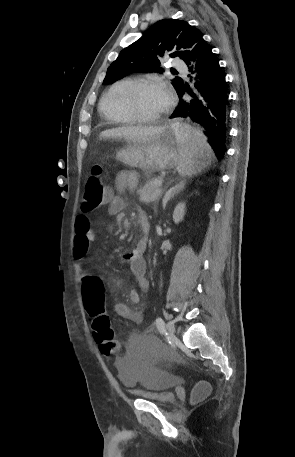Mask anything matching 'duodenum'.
<instances>
[{
	"instance_id": "1",
	"label": "duodenum",
	"mask_w": 295,
	"mask_h": 457,
	"mask_svg": "<svg viewBox=\"0 0 295 457\" xmlns=\"http://www.w3.org/2000/svg\"><path fill=\"white\" fill-rule=\"evenodd\" d=\"M140 226H141V228H142L144 234H147L148 231H149V225H148L145 221L142 220V221L140 222Z\"/></svg>"
}]
</instances>
